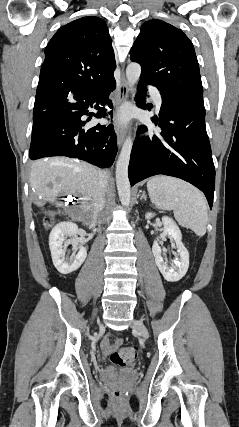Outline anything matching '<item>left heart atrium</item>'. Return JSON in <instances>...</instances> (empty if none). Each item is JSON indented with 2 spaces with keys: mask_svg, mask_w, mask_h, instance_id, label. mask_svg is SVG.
Instances as JSON below:
<instances>
[{
  "mask_svg": "<svg viewBox=\"0 0 239 427\" xmlns=\"http://www.w3.org/2000/svg\"><path fill=\"white\" fill-rule=\"evenodd\" d=\"M126 119H127V112H122L121 114H120V116H119V120L121 121V122H124V121H126Z\"/></svg>",
  "mask_w": 239,
  "mask_h": 427,
  "instance_id": "left-heart-atrium-1",
  "label": "left heart atrium"
}]
</instances>
